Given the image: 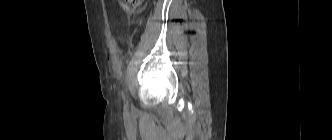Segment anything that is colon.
Here are the masks:
<instances>
[{"instance_id": "colon-1", "label": "colon", "mask_w": 332, "mask_h": 140, "mask_svg": "<svg viewBox=\"0 0 332 140\" xmlns=\"http://www.w3.org/2000/svg\"><path fill=\"white\" fill-rule=\"evenodd\" d=\"M141 1L142 0H120V5L125 11L130 12L137 8Z\"/></svg>"}]
</instances>
